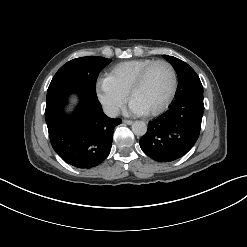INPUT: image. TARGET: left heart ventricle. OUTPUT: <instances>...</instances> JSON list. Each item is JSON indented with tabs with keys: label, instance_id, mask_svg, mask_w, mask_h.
<instances>
[{
	"label": "left heart ventricle",
	"instance_id": "left-heart-ventricle-1",
	"mask_svg": "<svg viewBox=\"0 0 247 247\" xmlns=\"http://www.w3.org/2000/svg\"><path fill=\"white\" fill-rule=\"evenodd\" d=\"M172 85V74L170 69L159 64L155 66L146 77L144 83L132 95L146 112L161 105L169 94Z\"/></svg>",
	"mask_w": 247,
	"mask_h": 247
}]
</instances>
